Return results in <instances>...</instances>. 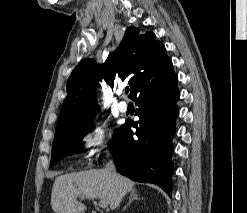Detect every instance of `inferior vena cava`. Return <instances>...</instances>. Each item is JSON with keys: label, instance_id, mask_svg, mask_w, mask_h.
I'll use <instances>...</instances> for the list:
<instances>
[{"label": "inferior vena cava", "instance_id": "602c4592", "mask_svg": "<svg viewBox=\"0 0 247 213\" xmlns=\"http://www.w3.org/2000/svg\"><path fill=\"white\" fill-rule=\"evenodd\" d=\"M107 170L113 175H116V168L113 161H109L107 164ZM120 203V202H119Z\"/></svg>", "mask_w": 247, "mask_h": 213}]
</instances>
